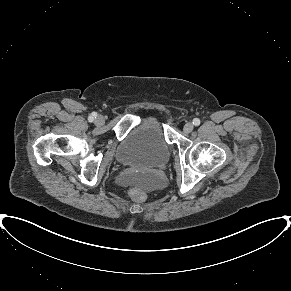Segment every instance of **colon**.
<instances>
[{
    "instance_id": "obj_1",
    "label": "colon",
    "mask_w": 291,
    "mask_h": 291,
    "mask_svg": "<svg viewBox=\"0 0 291 291\" xmlns=\"http://www.w3.org/2000/svg\"><path fill=\"white\" fill-rule=\"evenodd\" d=\"M129 193L136 202H142L146 198L145 192L138 187L130 188Z\"/></svg>"
}]
</instances>
